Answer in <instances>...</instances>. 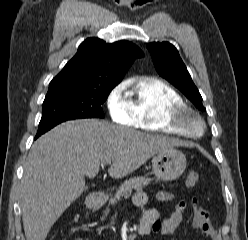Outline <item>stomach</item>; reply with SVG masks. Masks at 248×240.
Listing matches in <instances>:
<instances>
[{"mask_svg":"<svg viewBox=\"0 0 248 240\" xmlns=\"http://www.w3.org/2000/svg\"><path fill=\"white\" fill-rule=\"evenodd\" d=\"M186 168L185 155L176 149L158 153L152 160V170L157 179L173 181L179 178Z\"/></svg>","mask_w":248,"mask_h":240,"instance_id":"obj_1","label":"stomach"}]
</instances>
